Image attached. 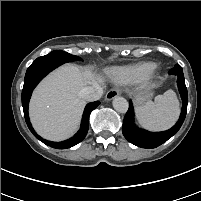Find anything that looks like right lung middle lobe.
I'll return each instance as SVG.
<instances>
[{
    "instance_id": "right-lung-middle-lobe-1",
    "label": "right lung middle lobe",
    "mask_w": 201,
    "mask_h": 201,
    "mask_svg": "<svg viewBox=\"0 0 201 201\" xmlns=\"http://www.w3.org/2000/svg\"><path fill=\"white\" fill-rule=\"evenodd\" d=\"M49 55L59 56L61 58L66 59L67 62H69V61H81L82 60L80 57L75 56V55H71V54L64 52V51H52L49 53Z\"/></svg>"
}]
</instances>
